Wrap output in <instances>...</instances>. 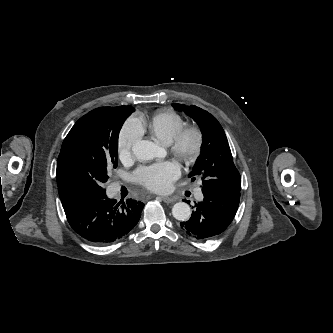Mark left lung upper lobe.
I'll use <instances>...</instances> for the list:
<instances>
[{
  "label": "left lung upper lobe",
  "mask_w": 333,
  "mask_h": 333,
  "mask_svg": "<svg viewBox=\"0 0 333 333\" xmlns=\"http://www.w3.org/2000/svg\"><path fill=\"white\" fill-rule=\"evenodd\" d=\"M172 106L195 120L202 133L201 154L189 177L199 176L202 189L216 193H240V174L233 163L226 135L218 120L194 105L174 103Z\"/></svg>",
  "instance_id": "1"
}]
</instances>
